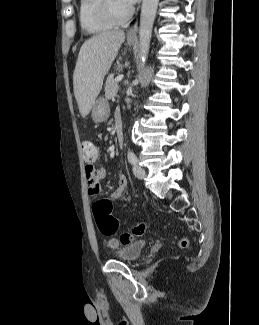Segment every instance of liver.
<instances>
[{
    "label": "liver",
    "instance_id": "6515ba94",
    "mask_svg": "<svg viewBox=\"0 0 259 325\" xmlns=\"http://www.w3.org/2000/svg\"><path fill=\"white\" fill-rule=\"evenodd\" d=\"M124 41V31H106L93 36L81 46L73 74V87L83 118L92 109L104 77Z\"/></svg>",
    "mask_w": 259,
    "mask_h": 325
}]
</instances>
